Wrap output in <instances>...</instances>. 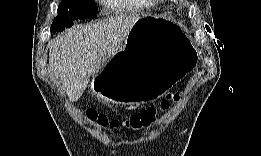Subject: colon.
Here are the masks:
<instances>
[{
  "instance_id": "5ec220e1",
  "label": "colon",
  "mask_w": 261,
  "mask_h": 156,
  "mask_svg": "<svg viewBox=\"0 0 261 156\" xmlns=\"http://www.w3.org/2000/svg\"><path fill=\"white\" fill-rule=\"evenodd\" d=\"M178 98V93L169 94L159 106H150L122 119H108L105 115L98 114L93 110H87L86 114L89 119L103 127L138 130L149 126L155 120L158 111L167 109L171 102L178 100Z\"/></svg>"
}]
</instances>
